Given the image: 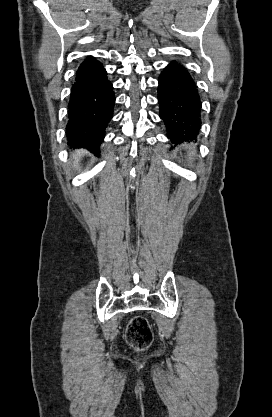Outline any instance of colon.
<instances>
[{
  "label": "colon",
  "instance_id": "5ec220e1",
  "mask_svg": "<svg viewBox=\"0 0 272 417\" xmlns=\"http://www.w3.org/2000/svg\"><path fill=\"white\" fill-rule=\"evenodd\" d=\"M126 340L134 348L144 350L153 341V332L147 319L143 316L133 317L126 328Z\"/></svg>",
  "mask_w": 272,
  "mask_h": 417
}]
</instances>
